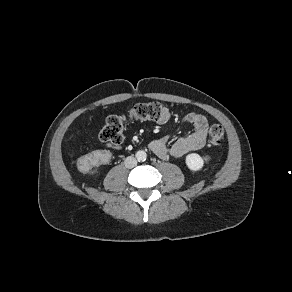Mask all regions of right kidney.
<instances>
[{
	"mask_svg": "<svg viewBox=\"0 0 292 292\" xmlns=\"http://www.w3.org/2000/svg\"><path fill=\"white\" fill-rule=\"evenodd\" d=\"M96 172H97V169L93 171V173H96Z\"/></svg>",
	"mask_w": 292,
	"mask_h": 292,
	"instance_id": "right-kidney-1",
	"label": "right kidney"
}]
</instances>
